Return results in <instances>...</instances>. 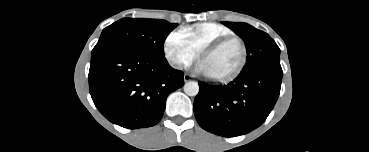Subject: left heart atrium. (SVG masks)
<instances>
[{"mask_svg":"<svg viewBox=\"0 0 369 152\" xmlns=\"http://www.w3.org/2000/svg\"><path fill=\"white\" fill-rule=\"evenodd\" d=\"M196 70H197L198 72H200V73H204V74H206V72H205V68H204V65H203L202 63H200V64L197 66Z\"/></svg>","mask_w":369,"mask_h":152,"instance_id":"1","label":"left heart atrium"}]
</instances>
